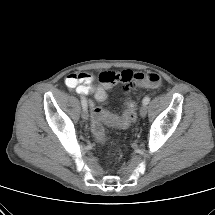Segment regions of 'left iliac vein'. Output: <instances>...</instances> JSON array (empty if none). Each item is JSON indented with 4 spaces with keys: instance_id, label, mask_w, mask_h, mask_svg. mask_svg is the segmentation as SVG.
<instances>
[{
    "instance_id": "obj_1",
    "label": "left iliac vein",
    "mask_w": 215,
    "mask_h": 215,
    "mask_svg": "<svg viewBox=\"0 0 215 215\" xmlns=\"http://www.w3.org/2000/svg\"><path fill=\"white\" fill-rule=\"evenodd\" d=\"M146 114H147V107L146 105H142V107L140 108V116L144 118Z\"/></svg>"
}]
</instances>
